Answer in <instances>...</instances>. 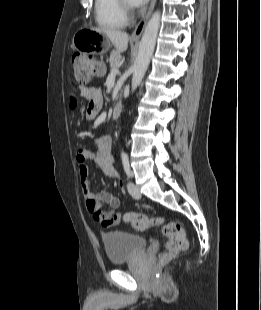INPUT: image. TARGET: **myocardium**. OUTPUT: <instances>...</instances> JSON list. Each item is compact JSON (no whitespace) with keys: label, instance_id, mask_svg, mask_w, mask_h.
Returning a JSON list of instances; mask_svg holds the SVG:
<instances>
[{"label":"myocardium","instance_id":"1","mask_svg":"<svg viewBox=\"0 0 261 310\" xmlns=\"http://www.w3.org/2000/svg\"><path fill=\"white\" fill-rule=\"evenodd\" d=\"M118 3L125 16H128L130 14L131 8L127 0H118Z\"/></svg>","mask_w":261,"mask_h":310}]
</instances>
